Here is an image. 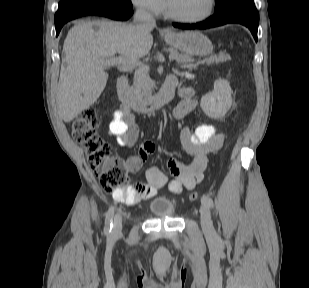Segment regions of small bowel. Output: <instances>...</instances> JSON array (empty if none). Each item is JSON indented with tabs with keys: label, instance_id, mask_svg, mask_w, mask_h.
<instances>
[{
	"label": "small bowel",
	"instance_id": "c3829d8e",
	"mask_svg": "<svg viewBox=\"0 0 309 288\" xmlns=\"http://www.w3.org/2000/svg\"><path fill=\"white\" fill-rule=\"evenodd\" d=\"M167 81L173 82L175 85L177 83L174 76L168 78ZM181 95L183 99L174 110L176 119L184 118L198 106L192 89L181 90ZM108 133L115 137L120 145L128 148L134 147L138 140L139 128L132 111L124 107L115 110L114 117L108 126ZM223 141L224 134L217 132L211 124H201L194 130L183 127L180 132L181 146L192 160L189 163L179 158L168 160V169L173 176V180L169 183V189L173 193H180L183 189H194L203 179L208 154L218 151L222 147ZM154 152V143H144L138 154L130 156L126 160L127 169L130 172L139 170L148 156ZM146 177V183H136L123 192H115L113 194L114 200L128 205L135 204L153 197L168 182L165 174L157 167L150 168Z\"/></svg>",
	"mask_w": 309,
	"mask_h": 288
}]
</instances>
